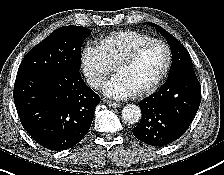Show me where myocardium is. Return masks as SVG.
<instances>
[{
  "label": "myocardium",
  "instance_id": "obj_1",
  "mask_svg": "<svg viewBox=\"0 0 224 175\" xmlns=\"http://www.w3.org/2000/svg\"><path fill=\"white\" fill-rule=\"evenodd\" d=\"M152 44H160L165 48L166 51V60L163 65V68L161 69L160 73L157 75V77L147 86L137 90L134 92L135 96H142L147 93L152 92L154 89L157 88V86L161 83V81L164 79L166 74L168 73V70L171 65L172 61V52L170 46L161 39H150L148 41H145L135 47L131 52H129L126 56H124L116 65H115V71L118 72L119 69H121L124 66H127L131 63H133L139 55L150 45Z\"/></svg>",
  "mask_w": 224,
  "mask_h": 175
}]
</instances>
